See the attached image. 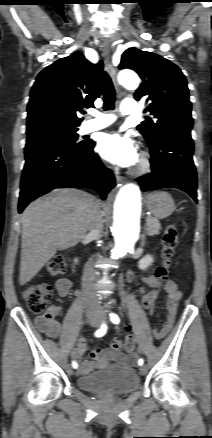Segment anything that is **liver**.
Here are the masks:
<instances>
[{
	"mask_svg": "<svg viewBox=\"0 0 212 438\" xmlns=\"http://www.w3.org/2000/svg\"><path fill=\"white\" fill-rule=\"evenodd\" d=\"M99 204L87 192L62 188L27 206L21 216V285L33 279L57 251L76 245L86 236Z\"/></svg>",
	"mask_w": 212,
	"mask_h": 438,
	"instance_id": "liver-1",
	"label": "liver"
}]
</instances>
